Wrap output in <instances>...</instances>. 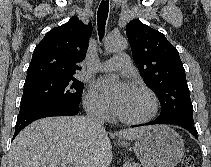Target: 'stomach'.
<instances>
[{"instance_id": "0dacf381", "label": "stomach", "mask_w": 211, "mask_h": 167, "mask_svg": "<svg viewBox=\"0 0 211 167\" xmlns=\"http://www.w3.org/2000/svg\"><path fill=\"white\" fill-rule=\"evenodd\" d=\"M132 149L144 167H175L185 152L183 139L167 126H151Z\"/></svg>"}]
</instances>
